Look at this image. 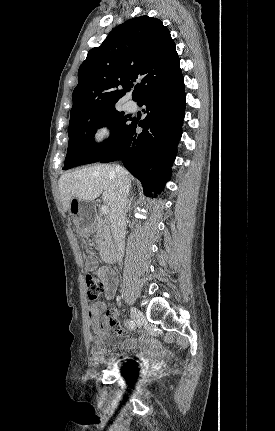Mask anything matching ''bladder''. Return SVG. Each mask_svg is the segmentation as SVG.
<instances>
[{"instance_id":"bladder-1","label":"bladder","mask_w":275,"mask_h":431,"mask_svg":"<svg viewBox=\"0 0 275 431\" xmlns=\"http://www.w3.org/2000/svg\"><path fill=\"white\" fill-rule=\"evenodd\" d=\"M111 364L109 365L110 370H112L114 373H116L117 375L121 376V377H125L126 375V370L125 367L127 365V361L125 360H117L114 362H110ZM134 366V364H130V367Z\"/></svg>"}]
</instances>
